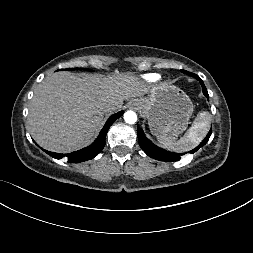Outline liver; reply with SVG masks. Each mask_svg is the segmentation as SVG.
<instances>
[{
    "mask_svg": "<svg viewBox=\"0 0 253 253\" xmlns=\"http://www.w3.org/2000/svg\"><path fill=\"white\" fill-rule=\"evenodd\" d=\"M138 77L123 74L56 72L35 91L28 115L29 131L44 149L69 153L86 146L107 113L120 109L124 100L148 93ZM114 109L107 112L106 106Z\"/></svg>",
    "mask_w": 253,
    "mask_h": 253,
    "instance_id": "liver-1",
    "label": "liver"
}]
</instances>
